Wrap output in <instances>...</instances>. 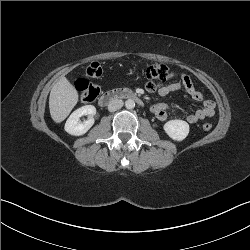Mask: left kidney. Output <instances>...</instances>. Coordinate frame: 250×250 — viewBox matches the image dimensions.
Instances as JSON below:
<instances>
[{"instance_id":"obj_1","label":"left kidney","mask_w":250,"mask_h":250,"mask_svg":"<svg viewBox=\"0 0 250 250\" xmlns=\"http://www.w3.org/2000/svg\"><path fill=\"white\" fill-rule=\"evenodd\" d=\"M163 129L175 141H183L189 134V124L178 119L166 122Z\"/></svg>"}]
</instances>
